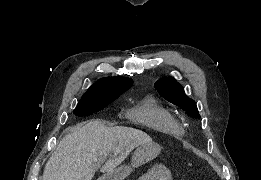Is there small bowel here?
<instances>
[{
  "instance_id": "c3829d8e",
  "label": "small bowel",
  "mask_w": 261,
  "mask_h": 180,
  "mask_svg": "<svg viewBox=\"0 0 261 180\" xmlns=\"http://www.w3.org/2000/svg\"><path fill=\"white\" fill-rule=\"evenodd\" d=\"M143 180H170L171 173L168 168L162 164L154 166L149 172L142 176Z\"/></svg>"
}]
</instances>
